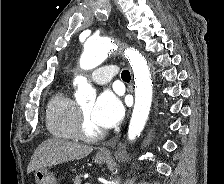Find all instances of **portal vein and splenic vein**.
<instances>
[{
    "label": "portal vein and splenic vein",
    "instance_id": "obj_1",
    "mask_svg": "<svg viewBox=\"0 0 224 184\" xmlns=\"http://www.w3.org/2000/svg\"><path fill=\"white\" fill-rule=\"evenodd\" d=\"M85 184H90L89 182H86Z\"/></svg>",
    "mask_w": 224,
    "mask_h": 184
}]
</instances>
